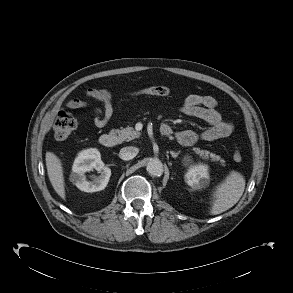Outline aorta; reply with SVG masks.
<instances>
[{"label":"aorta","instance_id":"762f6f07","mask_svg":"<svg viewBox=\"0 0 293 293\" xmlns=\"http://www.w3.org/2000/svg\"><path fill=\"white\" fill-rule=\"evenodd\" d=\"M147 172L151 176L160 177L163 174L164 168L163 164L159 159L153 158L147 163Z\"/></svg>","mask_w":293,"mask_h":293}]
</instances>
